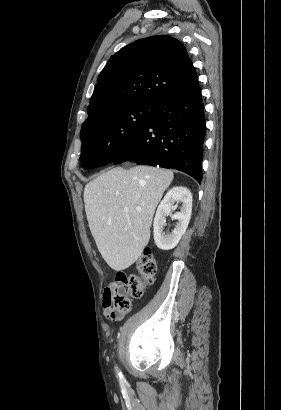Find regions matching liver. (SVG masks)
Segmentation results:
<instances>
[{
    "label": "liver",
    "mask_w": 281,
    "mask_h": 410,
    "mask_svg": "<svg viewBox=\"0 0 281 410\" xmlns=\"http://www.w3.org/2000/svg\"><path fill=\"white\" fill-rule=\"evenodd\" d=\"M173 178L171 170L158 167H116L85 186L89 228L100 254L113 270L127 269L140 257L150 239L155 209ZM125 207L128 212H124Z\"/></svg>",
    "instance_id": "liver-1"
}]
</instances>
